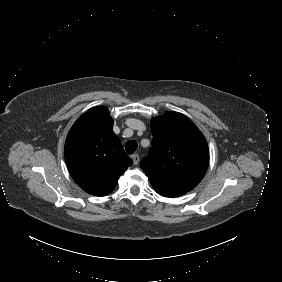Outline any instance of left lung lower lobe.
Instances as JSON below:
<instances>
[{"label": "left lung lower lobe", "instance_id": "obj_1", "mask_svg": "<svg viewBox=\"0 0 282 282\" xmlns=\"http://www.w3.org/2000/svg\"><path fill=\"white\" fill-rule=\"evenodd\" d=\"M154 189L158 194L164 197H177L186 193L179 189H170V188H162V189L154 188Z\"/></svg>", "mask_w": 282, "mask_h": 282}]
</instances>
